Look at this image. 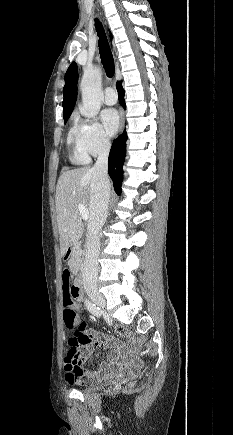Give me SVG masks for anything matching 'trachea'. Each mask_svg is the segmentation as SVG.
Segmentation results:
<instances>
[{
  "label": "trachea",
  "instance_id": "1",
  "mask_svg": "<svg viewBox=\"0 0 233 435\" xmlns=\"http://www.w3.org/2000/svg\"><path fill=\"white\" fill-rule=\"evenodd\" d=\"M95 27L99 37V52L102 64L109 78H112L115 72L114 59L109 46V43L106 38L105 31L101 22L98 19H95Z\"/></svg>",
  "mask_w": 233,
  "mask_h": 435
}]
</instances>
